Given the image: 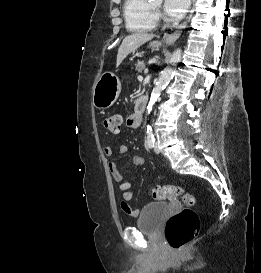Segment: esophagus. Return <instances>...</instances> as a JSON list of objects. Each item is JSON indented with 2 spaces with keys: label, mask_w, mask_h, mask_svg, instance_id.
Returning <instances> with one entry per match:
<instances>
[{
  "label": "esophagus",
  "mask_w": 261,
  "mask_h": 273,
  "mask_svg": "<svg viewBox=\"0 0 261 273\" xmlns=\"http://www.w3.org/2000/svg\"><path fill=\"white\" fill-rule=\"evenodd\" d=\"M190 13H191V11H190ZM189 18H190V14L188 15L186 21L184 23H182L180 25L179 29L176 30L175 32H173L171 34H164L163 41L166 42L167 44H173L181 35L182 30L187 26Z\"/></svg>",
  "instance_id": "1"
}]
</instances>
